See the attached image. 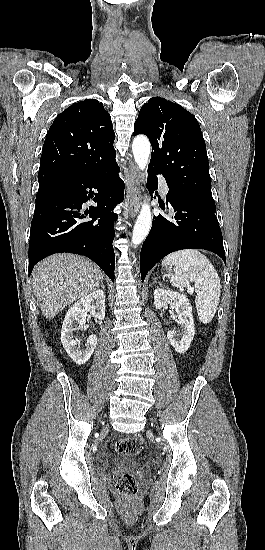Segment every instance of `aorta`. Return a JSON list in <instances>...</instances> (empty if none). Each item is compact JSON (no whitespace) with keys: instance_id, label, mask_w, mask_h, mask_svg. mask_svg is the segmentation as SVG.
<instances>
[{"instance_id":"aorta-1","label":"aorta","mask_w":265,"mask_h":550,"mask_svg":"<svg viewBox=\"0 0 265 550\" xmlns=\"http://www.w3.org/2000/svg\"><path fill=\"white\" fill-rule=\"evenodd\" d=\"M150 142L145 136H137L132 143V151L138 168L145 171L148 166L150 156ZM152 224V214L150 206L147 203L142 205L138 214L132 233V244L134 246L142 243L147 237Z\"/></svg>"}]
</instances>
